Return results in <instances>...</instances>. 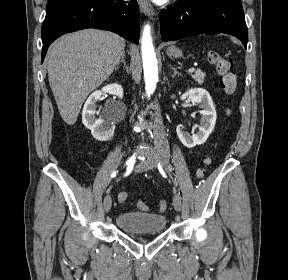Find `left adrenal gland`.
<instances>
[{"mask_svg":"<svg viewBox=\"0 0 288 280\" xmlns=\"http://www.w3.org/2000/svg\"><path fill=\"white\" fill-rule=\"evenodd\" d=\"M172 69H173V75H172V77H175L176 75H181V74L177 71V69H175L174 67H172Z\"/></svg>","mask_w":288,"mask_h":280,"instance_id":"left-adrenal-gland-1","label":"left adrenal gland"}]
</instances>
